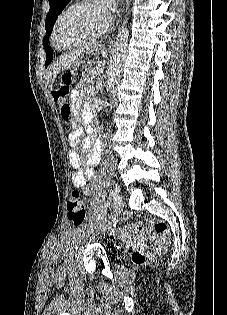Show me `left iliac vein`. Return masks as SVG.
<instances>
[{
	"label": "left iliac vein",
	"instance_id": "1",
	"mask_svg": "<svg viewBox=\"0 0 227 315\" xmlns=\"http://www.w3.org/2000/svg\"><path fill=\"white\" fill-rule=\"evenodd\" d=\"M114 192L116 193V199L114 201V205L110 214L103 220L102 224L100 225L101 232L106 231L112 223L115 221L116 218L121 214L124 208V198L120 195V187L115 185L113 188Z\"/></svg>",
	"mask_w": 227,
	"mask_h": 315
}]
</instances>
